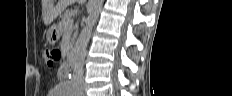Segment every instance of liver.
I'll use <instances>...</instances> for the list:
<instances>
[{"label": "liver", "instance_id": "obj_1", "mask_svg": "<svg viewBox=\"0 0 232 96\" xmlns=\"http://www.w3.org/2000/svg\"><path fill=\"white\" fill-rule=\"evenodd\" d=\"M72 1L58 0V3L54 5V0H42V19L44 24H51ZM80 2H83V0H80Z\"/></svg>", "mask_w": 232, "mask_h": 96}]
</instances>
